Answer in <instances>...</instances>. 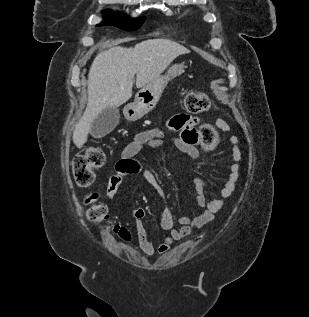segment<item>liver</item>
I'll return each mask as SVG.
<instances>
[{"instance_id":"6515ba94","label":"liver","mask_w":309,"mask_h":317,"mask_svg":"<svg viewBox=\"0 0 309 317\" xmlns=\"http://www.w3.org/2000/svg\"><path fill=\"white\" fill-rule=\"evenodd\" d=\"M190 51L169 39H149L135 47H113L99 53L88 74V103L75 125L73 143L81 148L88 139L93 120L106 108H117L142 88L158 79L170 63Z\"/></svg>"}]
</instances>
